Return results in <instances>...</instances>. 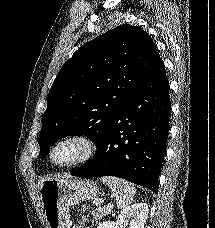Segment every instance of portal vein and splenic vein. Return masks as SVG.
Returning <instances> with one entry per match:
<instances>
[{"label":"portal vein and splenic vein","instance_id":"1","mask_svg":"<svg viewBox=\"0 0 215 228\" xmlns=\"http://www.w3.org/2000/svg\"><path fill=\"white\" fill-rule=\"evenodd\" d=\"M106 208H108V210H112V208H114L113 204H107Z\"/></svg>","mask_w":215,"mask_h":228}]
</instances>
